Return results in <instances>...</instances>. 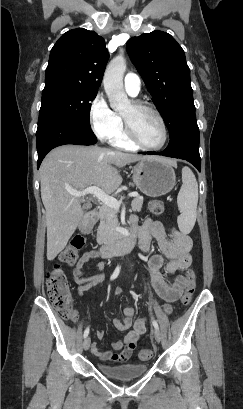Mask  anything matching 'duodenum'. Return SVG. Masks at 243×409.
Instances as JSON below:
<instances>
[{
  "label": "duodenum",
  "instance_id": "obj_1",
  "mask_svg": "<svg viewBox=\"0 0 243 409\" xmlns=\"http://www.w3.org/2000/svg\"><path fill=\"white\" fill-rule=\"evenodd\" d=\"M95 219L93 215L88 219L87 223L91 224ZM137 235L132 232L122 233L118 241L106 245H102L99 249L101 257L108 258L130 252L137 242Z\"/></svg>",
  "mask_w": 243,
  "mask_h": 409
}]
</instances>
